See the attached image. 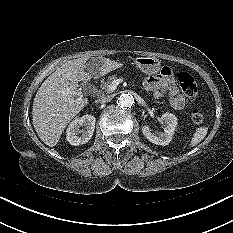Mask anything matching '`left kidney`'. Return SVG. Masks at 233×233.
Segmentation results:
<instances>
[{
  "label": "left kidney",
  "instance_id": "1",
  "mask_svg": "<svg viewBox=\"0 0 233 233\" xmlns=\"http://www.w3.org/2000/svg\"><path fill=\"white\" fill-rule=\"evenodd\" d=\"M161 121L165 125L164 132L157 134L152 133L150 126L144 125L142 127V133L150 142L156 145L165 146L172 140V136L174 135V131L177 126V117L174 114L167 112L162 115Z\"/></svg>",
  "mask_w": 233,
  "mask_h": 233
}]
</instances>
